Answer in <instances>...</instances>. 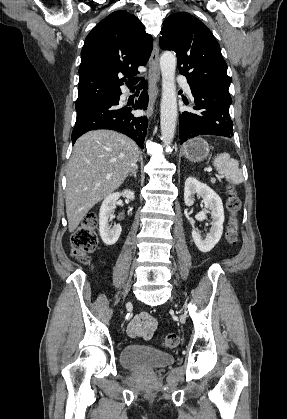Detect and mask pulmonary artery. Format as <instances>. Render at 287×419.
Instances as JSON below:
<instances>
[{
	"mask_svg": "<svg viewBox=\"0 0 287 419\" xmlns=\"http://www.w3.org/2000/svg\"><path fill=\"white\" fill-rule=\"evenodd\" d=\"M177 81L183 87V89L185 90V92L187 94L192 95L191 94L190 86H189V84H188V82H187V80L185 78L178 76L177 77Z\"/></svg>",
	"mask_w": 287,
	"mask_h": 419,
	"instance_id": "1",
	"label": "pulmonary artery"
}]
</instances>
